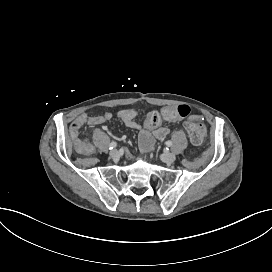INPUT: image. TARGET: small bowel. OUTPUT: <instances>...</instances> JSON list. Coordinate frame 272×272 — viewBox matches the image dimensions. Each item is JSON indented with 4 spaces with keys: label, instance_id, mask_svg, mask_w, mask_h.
<instances>
[{
    "label": "small bowel",
    "instance_id": "c3829d8e",
    "mask_svg": "<svg viewBox=\"0 0 272 272\" xmlns=\"http://www.w3.org/2000/svg\"><path fill=\"white\" fill-rule=\"evenodd\" d=\"M169 108H165L162 110V116L164 120L174 123L178 121V117L174 114L169 112ZM118 118L130 129L139 131V144L140 148L143 151H148L152 147V140L153 138L158 140H163L166 138L169 133L170 129L167 126H159V127H143L141 123H139L136 118L138 113L132 109H123L117 113ZM112 118V113L105 112L100 115H93L89 116L85 113L80 114L76 117L74 121H79L83 125L87 124L90 126H96L106 123ZM74 142H79L77 138H72Z\"/></svg>",
    "mask_w": 272,
    "mask_h": 272
}]
</instances>
